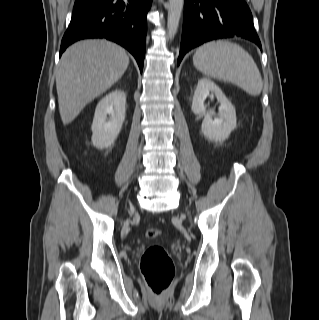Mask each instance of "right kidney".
Masks as SVG:
<instances>
[{"label":"right kidney","instance_id":"obj_1","mask_svg":"<svg viewBox=\"0 0 319 320\" xmlns=\"http://www.w3.org/2000/svg\"><path fill=\"white\" fill-rule=\"evenodd\" d=\"M125 105L126 95L120 89L112 91L99 101L91 126L94 147L105 149L113 145L125 120Z\"/></svg>","mask_w":319,"mask_h":320}]
</instances>
